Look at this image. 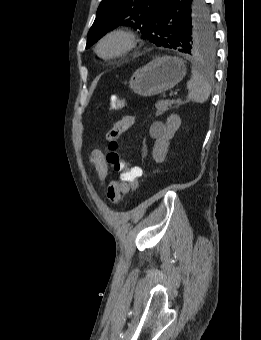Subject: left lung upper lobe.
<instances>
[{"label":"left lung upper lobe","mask_w":261,"mask_h":340,"mask_svg":"<svg viewBox=\"0 0 261 340\" xmlns=\"http://www.w3.org/2000/svg\"><path fill=\"white\" fill-rule=\"evenodd\" d=\"M164 1L102 0L88 33L86 48L108 31L125 25L140 29L143 38H148L159 47L174 48L190 55H213L214 30L205 2L196 6L190 18L181 17L171 24L159 16Z\"/></svg>","instance_id":"1"}]
</instances>
